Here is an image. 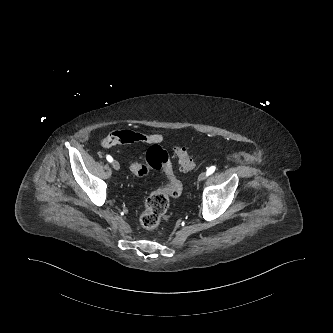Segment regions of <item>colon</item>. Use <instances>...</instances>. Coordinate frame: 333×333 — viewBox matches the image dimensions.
I'll return each mask as SVG.
<instances>
[{
	"instance_id": "colon-1",
	"label": "colon",
	"mask_w": 333,
	"mask_h": 333,
	"mask_svg": "<svg viewBox=\"0 0 333 333\" xmlns=\"http://www.w3.org/2000/svg\"><path fill=\"white\" fill-rule=\"evenodd\" d=\"M102 145L110 147L113 142L106 138ZM180 169L189 171L195 166V159L183 146L174 148ZM129 170L136 176H145L151 169L163 170L167 182L150 194L146 200L145 207L139 215V224L145 229L156 228L169 207L170 197H178L182 192V183L176 177L169 155L159 145H152L148 148L143 159L132 158L128 163Z\"/></svg>"
}]
</instances>
